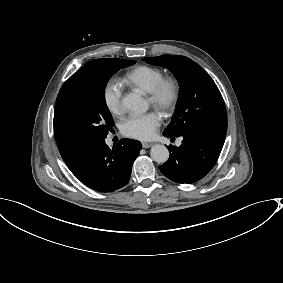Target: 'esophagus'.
I'll return each instance as SVG.
<instances>
[{
  "mask_svg": "<svg viewBox=\"0 0 283 283\" xmlns=\"http://www.w3.org/2000/svg\"><path fill=\"white\" fill-rule=\"evenodd\" d=\"M153 145V143H142L143 148H151Z\"/></svg>",
  "mask_w": 283,
  "mask_h": 283,
  "instance_id": "esophagus-1",
  "label": "esophagus"
}]
</instances>
